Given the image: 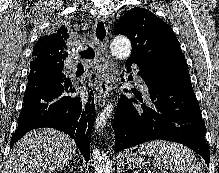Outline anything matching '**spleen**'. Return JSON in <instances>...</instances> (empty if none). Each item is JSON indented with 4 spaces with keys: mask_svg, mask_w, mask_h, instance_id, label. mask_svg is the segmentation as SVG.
Here are the masks:
<instances>
[{
    "mask_svg": "<svg viewBox=\"0 0 219 173\" xmlns=\"http://www.w3.org/2000/svg\"><path fill=\"white\" fill-rule=\"evenodd\" d=\"M138 154L153 156L157 166L175 173H204L195 156L187 148L175 142L149 141L140 145Z\"/></svg>",
    "mask_w": 219,
    "mask_h": 173,
    "instance_id": "3e777b00",
    "label": "spleen"
}]
</instances>
